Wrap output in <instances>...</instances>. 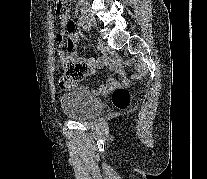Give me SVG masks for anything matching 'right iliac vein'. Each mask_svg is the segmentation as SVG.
Instances as JSON below:
<instances>
[{"label":"right iliac vein","instance_id":"right-iliac-vein-1","mask_svg":"<svg viewBox=\"0 0 207 179\" xmlns=\"http://www.w3.org/2000/svg\"><path fill=\"white\" fill-rule=\"evenodd\" d=\"M83 17L90 27H96L97 22L95 17L89 12H83Z\"/></svg>","mask_w":207,"mask_h":179}]
</instances>
